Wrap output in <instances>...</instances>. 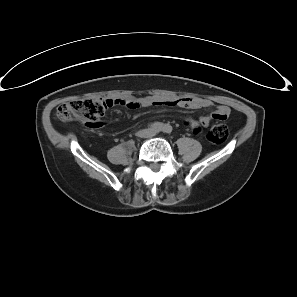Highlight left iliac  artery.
<instances>
[{"mask_svg":"<svg viewBox=\"0 0 297 297\" xmlns=\"http://www.w3.org/2000/svg\"><path fill=\"white\" fill-rule=\"evenodd\" d=\"M171 130H172V128H171L170 125H166V126L164 127V132H166V133H170Z\"/></svg>","mask_w":297,"mask_h":297,"instance_id":"obj_1","label":"left iliac artery"}]
</instances>
